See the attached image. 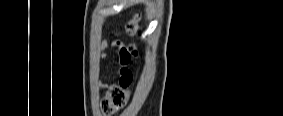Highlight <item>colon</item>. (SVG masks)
<instances>
[{"instance_id": "5ec220e1", "label": "colon", "mask_w": 283, "mask_h": 116, "mask_svg": "<svg viewBox=\"0 0 283 116\" xmlns=\"http://www.w3.org/2000/svg\"><path fill=\"white\" fill-rule=\"evenodd\" d=\"M139 22L135 18L127 24L126 31L130 36H135L138 33ZM126 54L131 57H137L138 52L134 45L125 48ZM132 82V75L120 76L117 82L111 83L106 87L103 98L100 102V109L104 115H111L122 107L128 101L130 95V86Z\"/></svg>"}]
</instances>
